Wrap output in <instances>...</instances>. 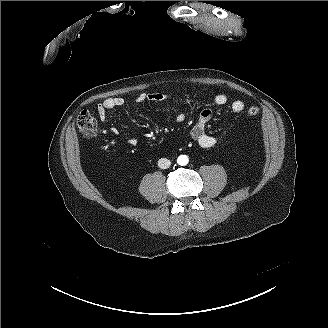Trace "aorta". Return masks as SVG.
<instances>
[{
    "mask_svg": "<svg viewBox=\"0 0 328 328\" xmlns=\"http://www.w3.org/2000/svg\"><path fill=\"white\" fill-rule=\"evenodd\" d=\"M188 157L186 155H180L178 158H177V163L181 166H185L188 164Z\"/></svg>",
    "mask_w": 328,
    "mask_h": 328,
    "instance_id": "obj_1",
    "label": "aorta"
}]
</instances>
